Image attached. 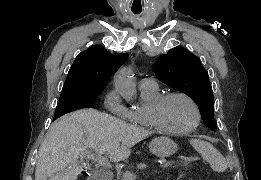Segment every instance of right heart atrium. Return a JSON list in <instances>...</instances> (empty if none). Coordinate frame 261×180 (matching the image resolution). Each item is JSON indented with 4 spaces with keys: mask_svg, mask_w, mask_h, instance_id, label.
I'll return each instance as SVG.
<instances>
[{
    "mask_svg": "<svg viewBox=\"0 0 261 180\" xmlns=\"http://www.w3.org/2000/svg\"><path fill=\"white\" fill-rule=\"evenodd\" d=\"M119 100V95L115 89L110 90L105 98H104V103L107 107H112L117 104ZM113 114H119V117H123V120H129L130 116L129 113L126 110H117V111H112ZM127 127V125H125Z\"/></svg>",
    "mask_w": 261,
    "mask_h": 180,
    "instance_id": "d8ad5b80",
    "label": "right heart atrium"
}]
</instances>
